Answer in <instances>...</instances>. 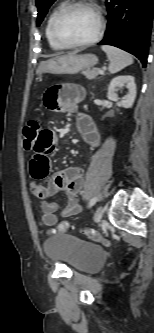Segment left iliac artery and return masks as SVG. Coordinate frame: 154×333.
Returning <instances> with one entry per match:
<instances>
[{"label": "left iliac artery", "mask_w": 154, "mask_h": 333, "mask_svg": "<svg viewBox=\"0 0 154 333\" xmlns=\"http://www.w3.org/2000/svg\"><path fill=\"white\" fill-rule=\"evenodd\" d=\"M97 197H93L90 201H89V207H92L96 202H97Z\"/></svg>", "instance_id": "obj_1"}]
</instances>
